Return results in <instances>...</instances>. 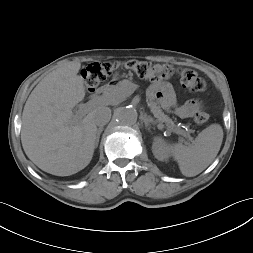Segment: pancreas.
I'll use <instances>...</instances> for the list:
<instances>
[{"instance_id": "cf45deb5", "label": "pancreas", "mask_w": 253, "mask_h": 253, "mask_svg": "<svg viewBox=\"0 0 253 253\" xmlns=\"http://www.w3.org/2000/svg\"><path fill=\"white\" fill-rule=\"evenodd\" d=\"M132 93L133 89L131 88L129 81H121L116 85L107 86L104 89V96L111 103H120ZM149 106L154 117L157 118V121L165 123L169 131L176 132L178 134L179 132H182V130L175 125L174 121L162 112L158 103L153 102Z\"/></svg>"}]
</instances>
